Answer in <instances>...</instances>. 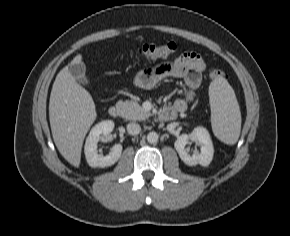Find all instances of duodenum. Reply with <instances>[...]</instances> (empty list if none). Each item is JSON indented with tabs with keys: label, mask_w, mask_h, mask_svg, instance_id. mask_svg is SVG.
Listing matches in <instances>:
<instances>
[{
	"label": "duodenum",
	"mask_w": 290,
	"mask_h": 236,
	"mask_svg": "<svg viewBox=\"0 0 290 236\" xmlns=\"http://www.w3.org/2000/svg\"><path fill=\"white\" fill-rule=\"evenodd\" d=\"M179 112H182V111H179L176 108H166L161 112L160 119L162 121H171L177 117ZM108 114L112 118H119L122 114V110L120 106L112 105L108 110Z\"/></svg>",
	"instance_id": "1"
}]
</instances>
